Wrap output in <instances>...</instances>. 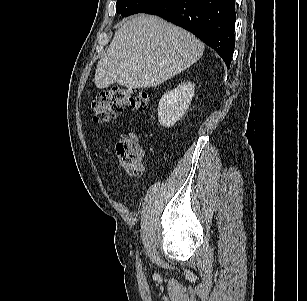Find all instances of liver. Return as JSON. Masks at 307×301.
<instances>
[{
  "instance_id": "6515ba94",
  "label": "liver",
  "mask_w": 307,
  "mask_h": 301,
  "mask_svg": "<svg viewBox=\"0 0 307 301\" xmlns=\"http://www.w3.org/2000/svg\"><path fill=\"white\" fill-rule=\"evenodd\" d=\"M204 49L190 32L157 16L140 14L116 31L98 62L94 82L99 89L114 83L127 88L153 87L187 69Z\"/></svg>"
}]
</instances>
